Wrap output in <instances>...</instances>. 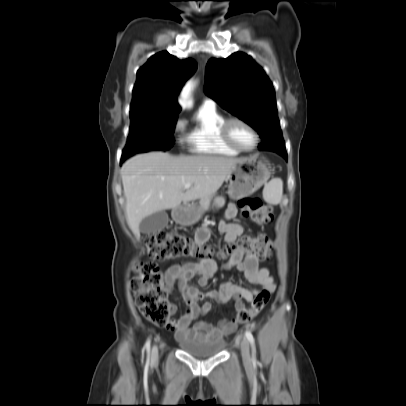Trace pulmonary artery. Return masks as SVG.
Listing matches in <instances>:
<instances>
[{
	"instance_id": "pulmonary-artery-1",
	"label": "pulmonary artery",
	"mask_w": 406,
	"mask_h": 406,
	"mask_svg": "<svg viewBox=\"0 0 406 406\" xmlns=\"http://www.w3.org/2000/svg\"><path fill=\"white\" fill-rule=\"evenodd\" d=\"M202 106H215V102L212 99L206 98L202 101Z\"/></svg>"
}]
</instances>
